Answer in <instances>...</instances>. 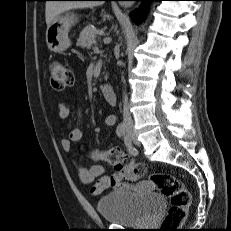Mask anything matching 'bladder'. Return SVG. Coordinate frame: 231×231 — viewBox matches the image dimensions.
<instances>
[{"label":"bladder","mask_w":231,"mask_h":231,"mask_svg":"<svg viewBox=\"0 0 231 231\" xmlns=\"http://www.w3.org/2000/svg\"><path fill=\"white\" fill-rule=\"evenodd\" d=\"M166 207L160 194L113 192L97 203L102 218L112 224L140 226L154 220Z\"/></svg>","instance_id":"bladder-1"}]
</instances>
